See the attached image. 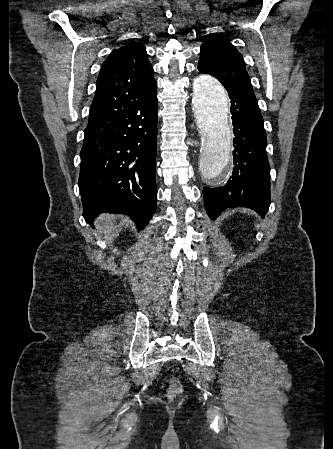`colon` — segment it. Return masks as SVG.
Masks as SVG:
<instances>
[{
	"instance_id": "1",
	"label": "colon",
	"mask_w": 333,
	"mask_h": 449,
	"mask_svg": "<svg viewBox=\"0 0 333 449\" xmlns=\"http://www.w3.org/2000/svg\"><path fill=\"white\" fill-rule=\"evenodd\" d=\"M181 390H182L181 383L177 379L173 378L170 381V385H169V390H168L169 396L175 397L181 392Z\"/></svg>"
}]
</instances>
